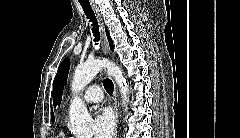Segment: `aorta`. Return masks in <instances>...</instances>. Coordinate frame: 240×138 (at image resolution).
<instances>
[{"mask_svg":"<svg viewBox=\"0 0 240 138\" xmlns=\"http://www.w3.org/2000/svg\"><path fill=\"white\" fill-rule=\"evenodd\" d=\"M101 68H106L109 75H111L117 82L122 103L127 110V100L129 88L126 83V79L123 75V71L116 64L107 61L105 59H95L86 61L84 64L78 65L74 72L72 81V91L77 94L83 90L96 76ZM70 130L77 138H90L91 128L90 123L92 117L89 114L86 105L78 96H75L70 105Z\"/></svg>","mask_w":240,"mask_h":138,"instance_id":"obj_1","label":"aorta"}]
</instances>
